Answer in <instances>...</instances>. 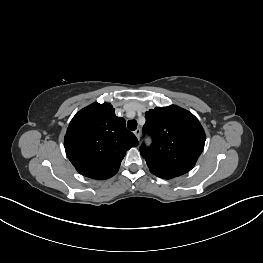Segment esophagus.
<instances>
[{"label":"esophagus","instance_id":"obj_1","mask_svg":"<svg viewBox=\"0 0 263 263\" xmlns=\"http://www.w3.org/2000/svg\"><path fill=\"white\" fill-rule=\"evenodd\" d=\"M134 134H135V136L137 137V139L139 140V139H140V135H141V130H140V129H136V130L134 131Z\"/></svg>","mask_w":263,"mask_h":263}]
</instances>
